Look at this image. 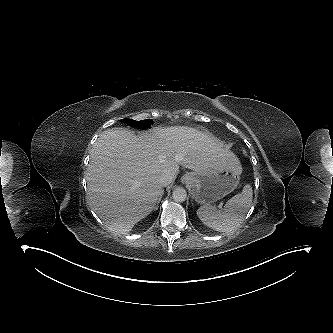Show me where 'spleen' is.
I'll return each mask as SVG.
<instances>
[{"mask_svg": "<svg viewBox=\"0 0 333 333\" xmlns=\"http://www.w3.org/2000/svg\"><path fill=\"white\" fill-rule=\"evenodd\" d=\"M252 198V187L247 184L241 193L226 202L223 209H217L213 205H204L197 210V216L203 224L215 231H235L251 207Z\"/></svg>", "mask_w": 333, "mask_h": 333, "instance_id": "1", "label": "spleen"}]
</instances>
